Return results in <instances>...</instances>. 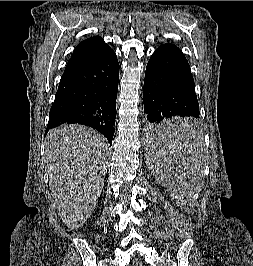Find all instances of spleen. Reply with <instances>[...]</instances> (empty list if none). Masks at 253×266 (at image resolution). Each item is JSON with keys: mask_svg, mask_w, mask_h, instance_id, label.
Masks as SVG:
<instances>
[{"mask_svg": "<svg viewBox=\"0 0 253 266\" xmlns=\"http://www.w3.org/2000/svg\"><path fill=\"white\" fill-rule=\"evenodd\" d=\"M148 138L143 153L147 154L153 174L173 192L174 204H187L201 184V161L196 141L197 123L191 117H161L160 123H147Z\"/></svg>", "mask_w": 253, "mask_h": 266, "instance_id": "1", "label": "spleen"}]
</instances>
